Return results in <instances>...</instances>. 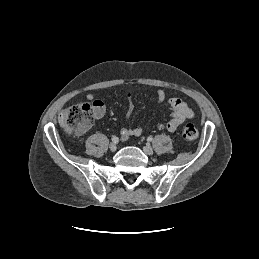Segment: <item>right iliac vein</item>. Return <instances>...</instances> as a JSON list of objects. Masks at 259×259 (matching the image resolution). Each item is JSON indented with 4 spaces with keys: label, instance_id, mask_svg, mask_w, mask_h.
Wrapping results in <instances>:
<instances>
[{
    "label": "right iliac vein",
    "instance_id": "63e3f726",
    "mask_svg": "<svg viewBox=\"0 0 259 259\" xmlns=\"http://www.w3.org/2000/svg\"><path fill=\"white\" fill-rule=\"evenodd\" d=\"M109 148H110V150H111L112 152L116 151V149H117L116 143H111L110 146H109Z\"/></svg>",
    "mask_w": 259,
    "mask_h": 259
}]
</instances>
